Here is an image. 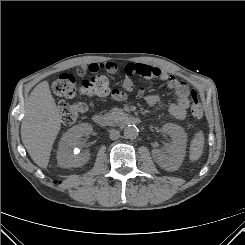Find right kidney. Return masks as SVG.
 <instances>
[{
  "instance_id": "ca27d5eb",
  "label": "right kidney",
  "mask_w": 245,
  "mask_h": 245,
  "mask_svg": "<svg viewBox=\"0 0 245 245\" xmlns=\"http://www.w3.org/2000/svg\"><path fill=\"white\" fill-rule=\"evenodd\" d=\"M91 132L92 126L90 124L81 123L73 126L63 135L57 152V162L61 167H79L89 160V153H74V148L81 137L88 136Z\"/></svg>"
}]
</instances>
